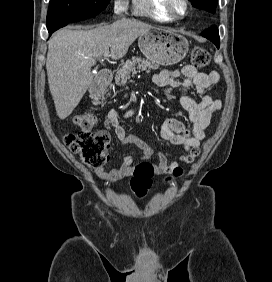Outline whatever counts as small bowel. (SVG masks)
Wrapping results in <instances>:
<instances>
[{
	"label": "small bowel",
	"mask_w": 272,
	"mask_h": 282,
	"mask_svg": "<svg viewBox=\"0 0 272 282\" xmlns=\"http://www.w3.org/2000/svg\"><path fill=\"white\" fill-rule=\"evenodd\" d=\"M218 81L219 74L217 72L204 73L193 65L164 69L153 77V82L157 86L180 87V104L188 113L192 123L191 128H187L184 123L176 118L166 117L163 120L160 129L161 138L172 145L181 147L183 152L176 160L159 153L158 159L150 164L157 174L168 173L179 164H189L199 155V146L205 138V131L210 125L212 115L222 107V101L213 98L210 94ZM191 88H194L200 95L199 102L188 95ZM119 120V113L113 110L108 113L104 126L107 129H114L120 144H134L143 151L144 159H150L151 148L139 138L128 137ZM133 164V157L126 155L117 166L110 169H93V173L105 183H114L130 175L134 170Z\"/></svg>",
	"instance_id": "1"
}]
</instances>
